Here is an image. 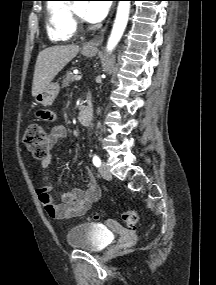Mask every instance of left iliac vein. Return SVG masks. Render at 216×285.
Returning <instances> with one entry per match:
<instances>
[{
	"mask_svg": "<svg viewBox=\"0 0 216 285\" xmlns=\"http://www.w3.org/2000/svg\"><path fill=\"white\" fill-rule=\"evenodd\" d=\"M99 173L105 180H110L112 178V175L109 171V168L105 162H103L99 167Z\"/></svg>",
	"mask_w": 216,
	"mask_h": 285,
	"instance_id": "4c4485c4",
	"label": "left iliac vein"
}]
</instances>
